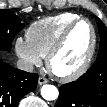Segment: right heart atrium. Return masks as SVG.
Wrapping results in <instances>:
<instances>
[{
    "label": "right heart atrium",
    "instance_id": "d8ad5b80",
    "mask_svg": "<svg viewBox=\"0 0 107 107\" xmlns=\"http://www.w3.org/2000/svg\"><path fill=\"white\" fill-rule=\"evenodd\" d=\"M15 52L28 68L39 66L42 62V56L32 47L27 39L18 37L15 40Z\"/></svg>",
    "mask_w": 107,
    "mask_h": 107
}]
</instances>
